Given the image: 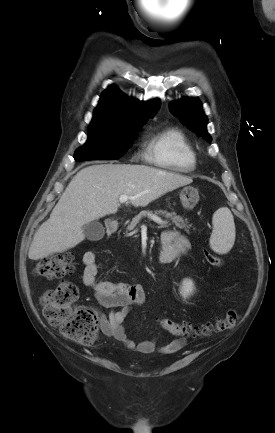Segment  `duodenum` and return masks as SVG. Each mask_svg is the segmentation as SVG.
<instances>
[{
    "instance_id": "obj_1",
    "label": "duodenum",
    "mask_w": 275,
    "mask_h": 433,
    "mask_svg": "<svg viewBox=\"0 0 275 433\" xmlns=\"http://www.w3.org/2000/svg\"><path fill=\"white\" fill-rule=\"evenodd\" d=\"M105 226H106L107 233L109 235L114 234L118 229V224L114 220L106 221ZM159 259L162 263L165 261V259H163V255H160Z\"/></svg>"
}]
</instances>
